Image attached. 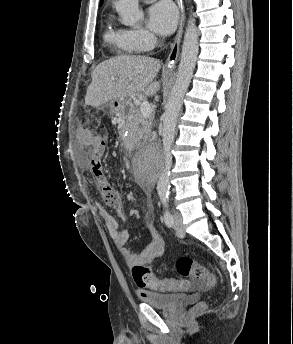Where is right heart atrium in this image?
<instances>
[{
    "label": "right heart atrium",
    "mask_w": 293,
    "mask_h": 344,
    "mask_svg": "<svg viewBox=\"0 0 293 344\" xmlns=\"http://www.w3.org/2000/svg\"><path fill=\"white\" fill-rule=\"evenodd\" d=\"M126 35L131 45L137 51H148L154 48L156 44V37L143 27L127 29Z\"/></svg>",
    "instance_id": "right-heart-atrium-1"
}]
</instances>
